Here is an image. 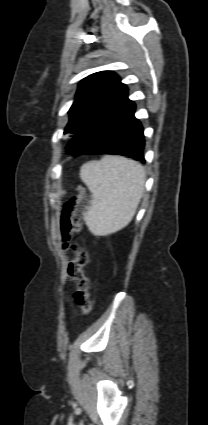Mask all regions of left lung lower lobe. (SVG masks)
I'll list each match as a JSON object with an SVG mask.
<instances>
[{"label": "left lung lower lobe", "mask_w": 208, "mask_h": 425, "mask_svg": "<svg viewBox=\"0 0 208 425\" xmlns=\"http://www.w3.org/2000/svg\"><path fill=\"white\" fill-rule=\"evenodd\" d=\"M134 112L135 103L128 99L126 88L75 135L80 155L115 154L145 162L143 128Z\"/></svg>", "instance_id": "obj_1"}]
</instances>
